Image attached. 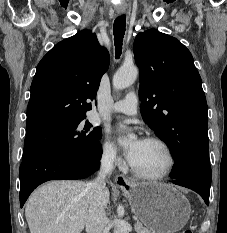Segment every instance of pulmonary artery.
<instances>
[{"mask_svg":"<svg viewBox=\"0 0 227 233\" xmlns=\"http://www.w3.org/2000/svg\"><path fill=\"white\" fill-rule=\"evenodd\" d=\"M137 105V95L134 92H129L124 99L115 102L111 106L110 112L134 116L137 114Z\"/></svg>","mask_w":227,"mask_h":233,"instance_id":"e3ab8cb5","label":"pulmonary artery"}]
</instances>
